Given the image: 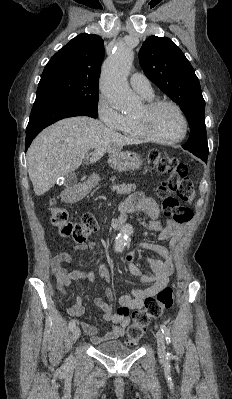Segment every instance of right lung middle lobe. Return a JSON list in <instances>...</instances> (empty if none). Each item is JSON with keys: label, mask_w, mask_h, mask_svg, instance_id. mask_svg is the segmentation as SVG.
<instances>
[{"label": "right lung middle lobe", "mask_w": 232, "mask_h": 399, "mask_svg": "<svg viewBox=\"0 0 232 399\" xmlns=\"http://www.w3.org/2000/svg\"><path fill=\"white\" fill-rule=\"evenodd\" d=\"M98 89V85L78 83L64 78H52L40 80L37 95L55 96L98 113Z\"/></svg>", "instance_id": "obj_1"}]
</instances>
